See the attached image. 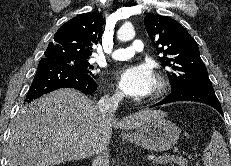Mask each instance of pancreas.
Instances as JSON below:
<instances>
[{"mask_svg": "<svg viewBox=\"0 0 231 166\" xmlns=\"http://www.w3.org/2000/svg\"><path fill=\"white\" fill-rule=\"evenodd\" d=\"M156 164H167V163H177L175 159H170V156L166 158L159 159L158 161H154Z\"/></svg>", "mask_w": 231, "mask_h": 166, "instance_id": "cf45deb5", "label": "pancreas"}]
</instances>
